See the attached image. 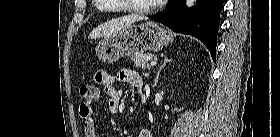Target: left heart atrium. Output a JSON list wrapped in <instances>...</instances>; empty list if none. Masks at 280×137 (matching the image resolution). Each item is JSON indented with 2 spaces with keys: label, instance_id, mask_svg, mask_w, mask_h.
I'll use <instances>...</instances> for the list:
<instances>
[{
  "label": "left heart atrium",
  "instance_id": "1",
  "mask_svg": "<svg viewBox=\"0 0 280 137\" xmlns=\"http://www.w3.org/2000/svg\"><path fill=\"white\" fill-rule=\"evenodd\" d=\"M157 1V3H165V2H167V0H156Z\"/></svg>",
  "mask_w": 280,
  "mask_h": 137
}]
</instances>
